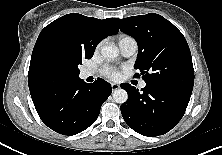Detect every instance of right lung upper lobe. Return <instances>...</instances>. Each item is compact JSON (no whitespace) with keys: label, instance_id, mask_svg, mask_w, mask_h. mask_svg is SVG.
<instances>
[{"label":"right lung upper lobe","instance_id":"cb5924a9","mask_svg":"<svg viewBox=\"0 0 222 155\" xmlns=\"http://www.w3.org/2000/svg\"><path fill=\"white\" fill-rule=\"evenodd\" d=\"M116 18L99 20L81 14L64 15L47 25L39 34L34 46L28 72V85L31 94L48 92L58 75L51 70L43 56V47L47 39L57 32H69L86 50H95L97 44L105 37L117 33Z\"/></svg>","mask_w":222,"mask_h":155}]
</instances>
